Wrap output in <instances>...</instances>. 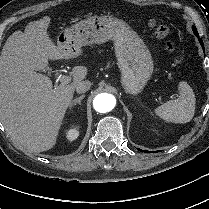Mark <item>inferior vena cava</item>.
Masks as SVG:
<instances>
[{
    "label": "inferior vena cava",
    "instance_id": "inferior-vena-cava-1",
    "mask_svg": "<svg viewBox=\"0 0 209 209\" xmlns=\"http://www.w3.org/2000/svg\"><path fill=\"white\" fill-rule=\"evenodd\" d=\"M91 82L90 81H80L79 83H77L75 89L77 93H85L87 92L90 87H91Z\"/></svg>",
    "mask_w": 209,
    "mask_h": 209
}]
</instances>
